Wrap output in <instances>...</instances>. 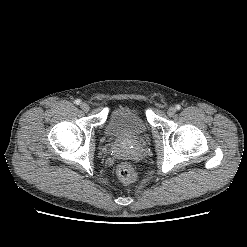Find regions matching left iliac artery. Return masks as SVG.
<instances>
[{
  "mask_svg": "<svg viewBox=\"0 0 247 247\" xmlns=\"http://www.w3.org/2000/svg\"><path fill=\"white\" fill-rule=\"evenodd\" d=\"M176 109L177 110H180L181 109V106L180 105H176Z\"/></svg>",
  "mask_w": 247,
  "mask_h": 247,
  "instance_id": "1",
  "label": "left iliac artery"
}]
</instances>
